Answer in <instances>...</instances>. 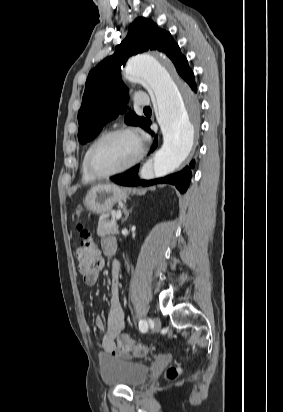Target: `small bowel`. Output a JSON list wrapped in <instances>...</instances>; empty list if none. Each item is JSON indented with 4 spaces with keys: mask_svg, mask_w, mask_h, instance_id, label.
Listing matches in <instances>:
<instances>
[{
    "mask_svg": "<svg viewBox=\"0 0 283 412\" xmlns=\"http://www.w3.org/2000/svg\"><path fill=\"white\" fill-rule=\"evenodd\" d=\"M117 244L112 238H104L101 243L102 250L105 254H113L110 252V247ZM98 257L90 266L89 270L84 274V280L88 285H94L99 278V274L104 267V258L100 255L97 249ZM121 266L118 262H114L111 270L110 283V306L108 311V319L106 333L100 339L101 355L103 356H124L116 348L115 339L121 333L125 326V313L120 302L121 288ZM95 325L98 329L104 328V322L101 318H96Z\"/></svg>",
    "mask_w": 283,
    "mask_h": 412,
    "instance_id": "c3829d8e",
    "label": "small bowel"
}]
</instances>
